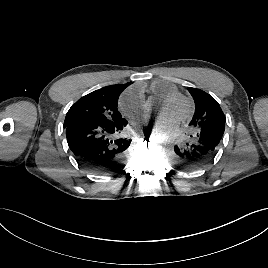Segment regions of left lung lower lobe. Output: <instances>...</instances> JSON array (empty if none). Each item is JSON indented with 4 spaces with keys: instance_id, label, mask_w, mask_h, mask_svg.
Masks as SVG:
<instances>
[{
    "instance_id": "obj_1",
    "label": "left lung lower lobe",
    "mask_w": 268,
    "mask_h": 268,
    "mask_svg": "<svg viewBox=\"0 0 268 268\" xmlns=\"http://www.w3.org/2000/svg\"><path fill=\"white\" fill-rule=\"evenodd\" d=\"M225 123L210 124L195 130L191 138L175 145L168 160L179 170L192 171L208 164L217 154L222 142Z\"/></svg>"
}]
</instances>
